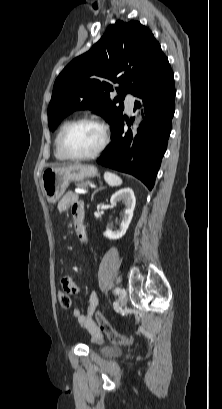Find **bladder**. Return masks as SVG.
Listing matches in <instances>:
<instances>
[{
  "mask_svg": "<svg viewBox=\"0 0 222 409\" xmlns=\"http://www.w3.org/2000/svg\"><path fill=\"white\" fill-rule=\"evenodd\" d=\"M100 353L104 356H118L122 353V349L111 345H105L100 348Z\"/></svg>",
  "mask_w": 222,
  "mask_h": 409,
  "instance_id": "bladder-1",
  "label": "bladder"
}]
</instances>
